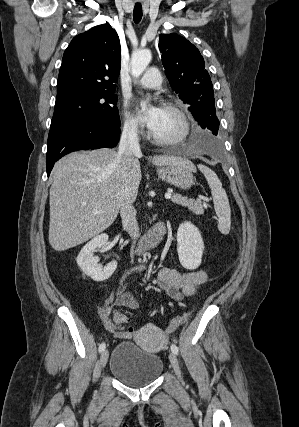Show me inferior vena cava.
<instances>
[{"mask_svg": "<svg viewBox=\"0 0 299 427\" xmlns=\"http://www.w3.org/2000/svg\"><path fill=\"white\" fill-rule=\"evenodd\" d=\"M140 154L141 150L137 128L133 126H125L121 134L118 156L124 155L127 158L128 164H130L134 156ZM120 215L124 229H126L128 234L134 240H137L140 236V233L136 220V210L129 200H124L122 202L120 207Z\"/></svg>", "mask_w": 299, "mask_h": 427, "instance_id": "1", "label": "inferior vena cava"}]
</instances>
